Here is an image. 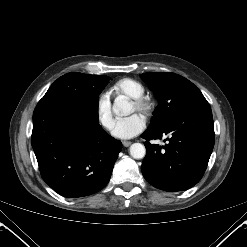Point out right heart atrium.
Instances as JSON below:
<instances>
[{"instance_id":"1","label":"right heart atrium","mask_w":247,"mask_h":247,"mask_svg":"<svg viewBox=\"0 0 247 247\" xmlns=\"http://www.w3.org/2000/svg\"><path fill=\"white\" fill-rule=\"evenodd\" d=\"M96 116L99 124L109 130L113 126L112 103L109 93H101L96 101Z\"/></svg>"}]
</instances>
